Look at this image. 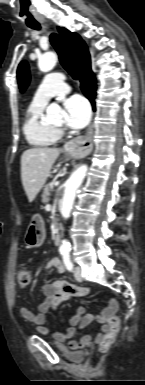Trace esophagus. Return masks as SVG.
<instances>
[{
    "label": "esophagus",
    "instance_id": "1",
    "mask_svg": "<svg viewBox=\"0 0 145 385\" xmlns=\"http://www.w3.org/2000/svg\"><path fill=\"white\" fill-rule=\"evenodd\" d=\"M92 137L93 124H90L85 136L72 139L67 143L66 146L71 153L79 157H84L88 155L93 149Z\"/></svg>",
    "mask_w": 145,
    "mask_h": 385
}]
</instances>
